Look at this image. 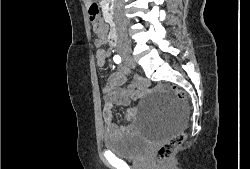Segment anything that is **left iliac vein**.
I'll use <instances>...</instances> for the list:
<instances>
[{"label":"left iliac vein","mask_w":250,"mask_h":169,"mask_svg":"<svg viewBox=\"0 0 250 169\" xmlns=\"http://www.w3.org/2000/svg\"><path fill=\"white\" fill-rule=\"evenodd\" d=\"M128 65L131 67V68H135V62H133V60H131Z\"/></svg>","instance_id":"4c4485c4"}]
</instances>
